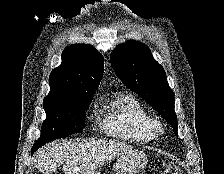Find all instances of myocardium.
<instances>
[{
	"label": "myocardium",
	"mask_w": 224,
	"mask_h": 174,
	"mask_svg": "<svg viewBox=\"0 0 224 174\" xmlns=\"http://www.w3.org/2000/svg\"><path fill=\"white\" fill-rule=\"evenodd\" d=\"M150 127L155 134L162 133L164 131V124L161 120L151 118Z\"/></svg>",
	"instance_id": "1"
}]
</instances>
